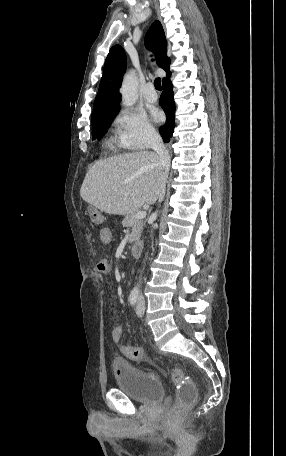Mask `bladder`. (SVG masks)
Returning <instances> with one entry per match:
<instances>
[{
	"label": "bladder",
	"instance_id": "31cf9c89",
	"mask_svg": "<svg viewBox=\"0 0 286 456\" xmlns=\"http://www.w3.org/2000/svg\"><path fill=\"white\" fill-rule=\"evenodd\" d=\"M114 376L117 387L134 401L149 403L164 397L165 390L158 377L140 372L128 363L117 362Z\"/></svg>",
	"mask_w": 286,
	"mask_h": 456
}]
</instances>
